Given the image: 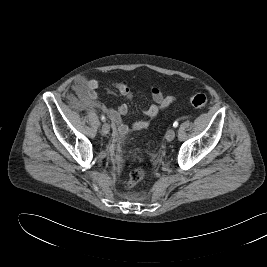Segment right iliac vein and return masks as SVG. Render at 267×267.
I'll return each mask as SVG.
<instances>
[{"label":"right iliac vein","instance_id":"1","mask_svg":"<svg viewBox=\"0 0 267 267\" xmlns=\"http://www.w3.org/2000/svg\"><path fill=\"white\" fill-rule=\"evenodd\" d=\"M109 131H110V126H109V124H108V123H104V124L102 125V128H101V133H102L103 135H107V134L109 133Z\"/></svg>","mask_w":267,"mask_h":267}]
</instances>
